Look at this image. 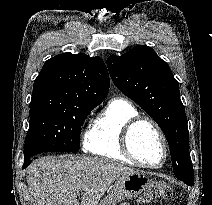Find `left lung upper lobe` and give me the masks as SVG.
<instances>
[{"label":"left lung upper lobe","mask_w":212,"mask_h":205,"mask_svg":"<svg viewBox=\"0 0 212 205\" xmlns=\"http://www.w3.org/2000/svg\"><path fill=\"white\" fill-rule=\"evenodd\" d=\"M107 66L117 88L161 127L169 144L175 176L194 182L187 118L179 84L168 64L151 47L140 45L121 56H109Z\"/></svg>","instance_id":"obj_1"}]
</instances>
